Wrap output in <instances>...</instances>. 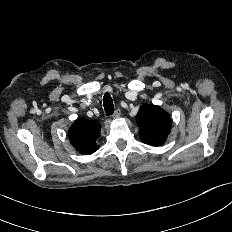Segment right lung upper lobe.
<instances>
[{"label":"right lung upper lobe","mask_w":232,"mask_h":232,"mask_svg":"<svg viewBox=\"0 0 232 232\" xmlns=\"http://www.w3.org/2000/svg\"><path fill=\"white\" fill-rule=\"evenodd\" d=\"M100 129V123L96 120L79 118L69 129V140L80 153L92 154L99 148L96 139Z\"/></svg>","instance_id":"obj_1"}]
</instances>
